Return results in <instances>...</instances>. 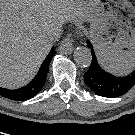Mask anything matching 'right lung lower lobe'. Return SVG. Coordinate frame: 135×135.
<instances>
[{
	"mask_svg": "<svg viewBox=\"0 0 135 135\" xmlns=\"http://www.w3.org/2000/svg\"><path fill=\"white\" fill-rule=\"evenodd\" d=\"M54 55H55V50L54 48H52L51 52L44 60L38 74L31 81V83H29L28 85L22 88L15 89V90H9L0 87V95L15 101H25L37 95L45 85L47 73L49 70V65Z\"/></svg>",
	"mask_w": 135,
	"mask_h": 135,
	"instance_id": "right-lung-lower-lobe-1",
	"label": "right lung lower lobe"
}]
</instances>
